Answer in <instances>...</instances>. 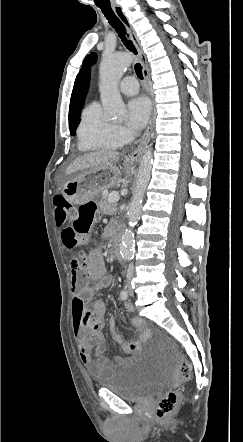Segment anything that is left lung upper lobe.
<instances>
[{"label":"left lung upper lobe","instance_id":"1","mask_svg":"<svg viewBox=\"0 0 243 442\" xmlns=\"http://www.w3.org/2000/svg\"><path fill=\"white\" fill-rule=\"evenodd\" d=\"M95 60H96V54H90V55H88L87 58L85 59L84 63H86V62H91V63H93V62H95Z\"/></svg>","mask_w":243,"mask_h":442}]
</instances>
